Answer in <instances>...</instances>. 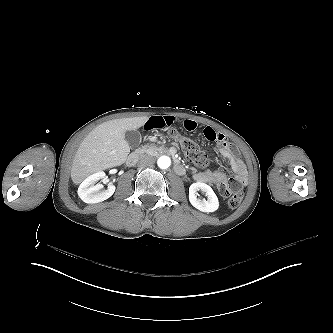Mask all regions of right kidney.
I'll return each instance as SVG.
<instances>
[{
	"mask_svg": "<svg viewBox=\"0 0 333 333\" xmlns=\"http://www.w3.org/2000/svg\"><path fill=\"white\" fill-rule=\"evenodd\" d=\"M106 174L103 171H99L87 177L78 188V195L85 203H99L113 195L115 192V186L108 184L106 190H102V184H96L100 179H105Z\"/></svg>",
	"mask_w": 333,
	"mask_h": 333,
	"instance_id": "ca27d5eb",
	"label": "right kidney"
}]
</instances>
